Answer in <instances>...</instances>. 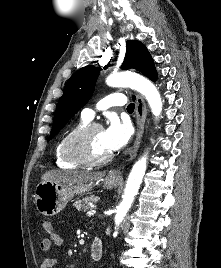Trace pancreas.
I'll use <instances>...</instances> for the list:
<instances>
[{
  "label": "pancreas",
  "instance_id": "pancreas-1",
  "mask_svg": "<svg viewBox=\"0 0 221 268\" xmlns=\"http://www.w3.org/2000/svg\"><path fill=\"white\" fill-rule=\"evenodd\" d=\"M98 197H94V196H90V197H85L81 200H78L74 203V206L76 207V209L78 211H81V210H88L89 209V203L93 202H97L98 201Z\"/></svg>",
  "mask_w": 221,
  "mask_h": 268
}]
</instances>
